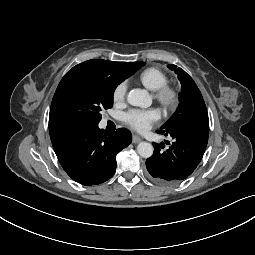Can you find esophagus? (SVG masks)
<instances>
[{
  "label": "esophagus",
  "mask_w": 255,
  "mask_h": 255,
  "mask_svg": "<svg viewBox=\"0 0 255 255\" xmlns=\"http://www.w3.org/2000/svg\"><path fill=\"white\" fill-rule=\"evenodd\" d=\"M141 141V138L137 135H133L132 142L134 144L139 143Z\"/></svg>",
  "instance_id": "34e87169"
}]
</instances>
